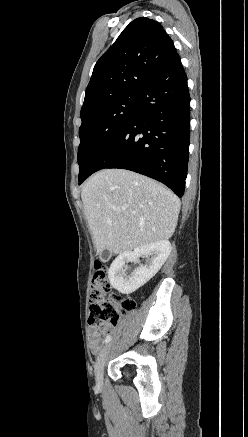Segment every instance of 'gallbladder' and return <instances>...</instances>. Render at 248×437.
I'll use <instances>...</instances> for the list:
<instances>
[{"instance_id": "gallbladder-1", "label": "gallbladder", "mask_w": 248, "mask_h": 437, "mask_svg": "<svg viewBox=\"0 0 248 437\" xmlns=\"http://www.w3.org/2000/svg\"><path fill=\"white\" fill-rule=\"evenodd\" d=\"M109 257H110V252L108 250H106V249L100 254V259L102 261L108 260Z\"/></svg>"}]
</instances>
